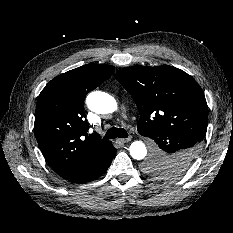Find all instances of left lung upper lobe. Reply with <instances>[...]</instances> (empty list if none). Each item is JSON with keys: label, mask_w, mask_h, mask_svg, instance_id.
I'll return each mask as SVG.
<instances>
[{"label": "left lung upper lobe", "mask_w": 233, "mask_h": 233, "mask_svg": "<svg viewBox=\"0 0 233 233\" xmlns=\"http://www.w3.org/2000/svg\"><path fill=\"white\" fill-rule=\"evenodd\" d=\"M115 77L138 107L141 118L137 130L141 135L146 137L157 130L181 131L195 136L200 149L207 131L208 106L201 87L190 75L162 65L127 67ZM144 170L155 177L169 170L185 172L154 154L144 164Z\"/></svg>", "instance_id": "5c2ea615"}]
</instances>
